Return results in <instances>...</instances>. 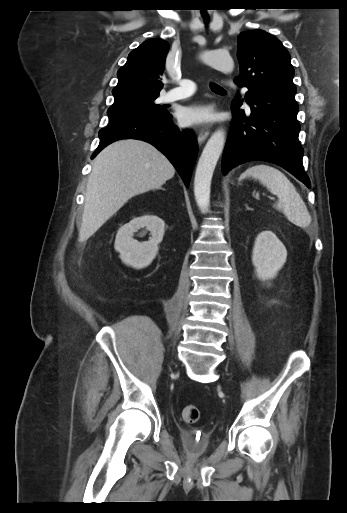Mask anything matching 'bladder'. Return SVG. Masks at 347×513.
I'll return each instance as SVG.
<instances>
[{
    "label": "bladder",
    "instance_id": "31cf9c89",
    "mask_svg": "<svg viewBox=\"0 0 347 513\" xmlns=\"http://www.w3.org/2000/svg\"><path fill=\"white\" fill-rule=\"evenodd\" d=\"M181 439L184 450L192 455H203L211 446V440L207 434L193 429H183Z\"/></svg>",
    "mask_w": 347,
    "mask_h": 513
}]
</instances>
